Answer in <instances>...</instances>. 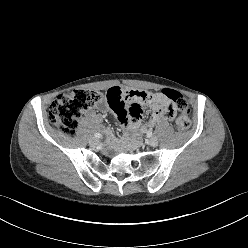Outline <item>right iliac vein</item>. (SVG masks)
Here are the masks:
<instances>
[{
    "label": "right iliac vein",
    "instance_id": "obj_1",
    "mask_svg": "<svg viewBox=\"0 0 248 248\" xmlns=\"http://www.w3.org/2000/svg\"><path fill=\"white\" fill-rule=\"evenodd\" d=\"M89 143L91 144V145H97L98 143H99V140L97 139V138H91L90 140H89Z\"/></svg>",
    "mask_w": 248,
    "mask_h": 248
}]
</instances>
